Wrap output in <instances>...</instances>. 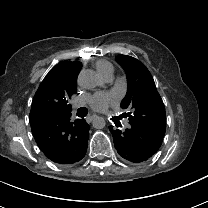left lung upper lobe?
<instances>
[{
    "instance_id": "5c2ea615",
    "label": "left lung upper lobe",
    "mask_w": 208,
    "mask_h": 208,
    "mask_svg": "<svg viewBox=\"0 0 208 208\" xmlns=\"http://www.w3.org/2000/svg\"><path fill=\"white\" fill-rule=\"evenodd\" d=\"M116 61L127 76L128 90L121 107L130 109L131 112L127 113L129 121L164 137L165 108L149 70L131 56L118 55Z\"/></svg>"
}]
</instances>
